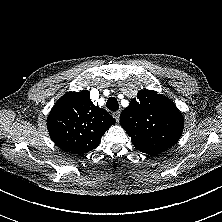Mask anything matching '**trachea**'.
<instances>
[{
    "label": "trachea",
    "mask_w": 222,
    "mask_h": 222,
    "mask_svg": "<svg viewBox=\"0 0 222 222\" xmlns=\"http://www.w3.org/2000/svg\"><path fill=\"white\" fill-rule=\"evenodd\" d=\"M106 107L111 111H117L119 109L118 101L115 97H110L107 100Z\"/></svg>",
    "instance_id": "3493384b"
}]
</instances>
